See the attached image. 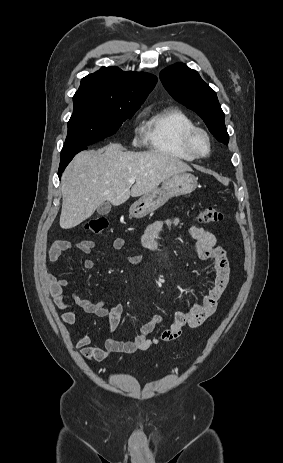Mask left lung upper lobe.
Listing matches in <instances>:
<instances>
[{"label":"left lung upper lobe","mask_w":283,"mask_h":463,"mask_svg":"<svg viewBox=\"0 0 283 463\" xmlns=\"http://www.w3.org/2000/svg\"><path fill=\"white\" fill-rule=\"evenodd\" d=\"M160 79L173 98L195 111L217 140L228 144L229 135L217 95L197 71L179 63L164 69Z\"/></svg>","instance_id":"1"}]
</instances>
